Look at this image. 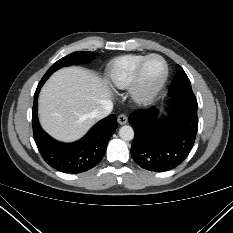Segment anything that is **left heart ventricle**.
<instances>
[{
	"label": "left heart ventricle",
	"instance_id": "b2bd125f",
	"mask_svg": "<svg viewBox=\"0 0 233 233\" xmlns=\"http://www.w3.org/2000/svg\"><path fill=\"white\" fill-rule=\"evenodd\" d=\"M164 74V64L158 58L150 59L143 72V81L146 85L156 84Z\"/></svg>",
	"mask_w": 233,
	"mask_h": 233
}]
</instances>
